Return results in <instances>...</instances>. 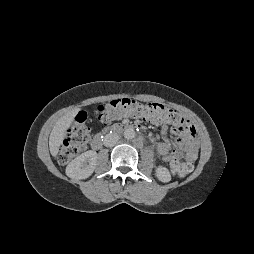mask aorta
<instances>
[{
	"mask_svg": "<svg viewBox=\"0 0 254 254\" xmlns=\"http://www.w3.org/2000/svg\"><path fill=\"white\" fill-rule=\"evenodd\" d=\"M124 137L126 139H133L135 137V131L132 128H128L124 131Z\"/></svg>",
	"mask_w": 254,
	"mask_h": 254,
	"instance_id": "obj_1",
	"label": "aorta"
}]
</instances>
